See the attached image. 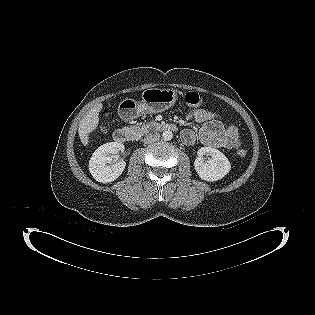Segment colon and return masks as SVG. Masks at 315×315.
<instances>
[{
	"mask_svg": "<svg viewBox=\"0 0 315 315\" xmlns=\"http://www.w3.org/2000/svg\"><path fill=\"white\" fill-rule=\"evenodd\" d=\"M183 103L189 107H199L203 105V99L196 92H188L183 97ZM237 153L240 157H245L247 155L245 149H240Z\"/></svg>",
	"mask_w": 315,
	"mask_h": 315,
	"instance_id": "colon-1",
	"label": "colon"
}]
</instances>
